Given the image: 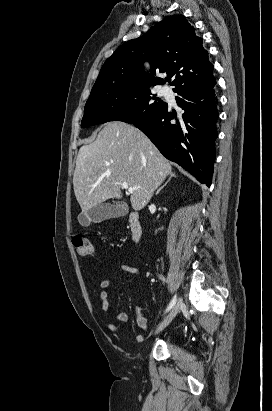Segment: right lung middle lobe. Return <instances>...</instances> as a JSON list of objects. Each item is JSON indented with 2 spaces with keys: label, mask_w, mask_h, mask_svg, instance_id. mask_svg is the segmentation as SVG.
I'll return each mask as SVG.
<instances>
[{
  "label": "right lung middle lobe",
  "mask_w": 272,
  "mask_h": 411,
  "mask_svg": "<svg viewBox=\"0 0 272 411\" xmlns=\"http://www.w3.org/2000/svg\"><path fill=\"white\" fill-rule=\"evenodd\" d=\"M166 105L152 96L148 86L119 85L92 91L86 102L81 126L108 121L134 123L153 116Z\"/></svg>",
  "instance_id": "dd1d6c3e"
}]
</instances>
